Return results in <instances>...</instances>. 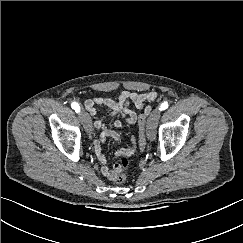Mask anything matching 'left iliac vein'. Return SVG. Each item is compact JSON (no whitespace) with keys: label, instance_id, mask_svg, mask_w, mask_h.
<instances>
[{"label":"left iliac vein","instance_id":"4c4485c4","mask_svg":"<svg viewBox=\"0 0 243 243\" xmlns=\"http://www.w3.org/2000/svg\"><path fill=\"white\" fill-rule=\"evenodd\" d=\"M160 114H161L160 110L155 109V110H153L150 117L148 118V121H147V138L150 141H153L156 137V126H157V122L160 118Z\"/></svg>","mask_w":243,"mask_h":243}]
</instances>
